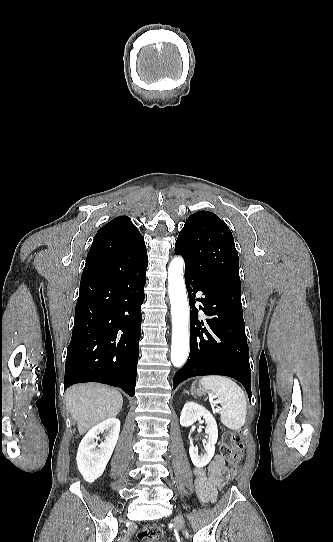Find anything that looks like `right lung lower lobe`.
Instances as JSON below:
<instances>
[{"mask_svg":"<svg viewBox=\"0 0 333 542\" xmlns=\"http://www.w3.org/2000/svg\"><path fill=\"white\" fill-rule=\"evenodd\" d=\"M147 264L145 242L88 253L67 349L64 390L76 383L100 382L134 396Z\"/></svg>","mask_w":333,"mask_h":542,"instance_id":"1","label":"right lung lower lobe"}]
</instances>
